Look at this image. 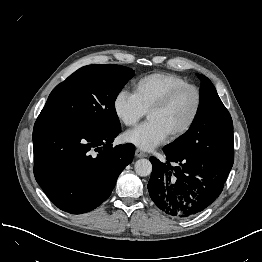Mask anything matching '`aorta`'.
Segmentation results:
<instances>
[{
	"instance_id": "aorta-1",
	"label": "aorta",
	"mask_w": 262,
	"mask_h": 262,
	"mask_svg": "<svg viewBox=\"0 0 262 262\" xmlns=\"http://www.w3.org/2000/svg\"><path fill=\"white\" fill-rule=\"evenodd\" d=\"M134 167L136 174L142 177L148 176L152 172V164L148 159L137 160Z\"/></svg>"
}]
</instances>
